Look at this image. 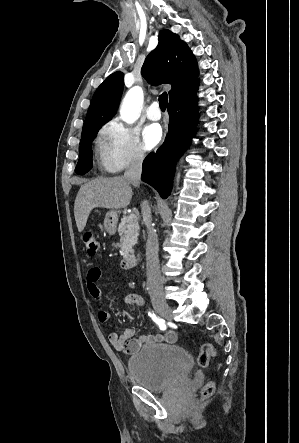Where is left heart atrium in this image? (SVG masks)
I'll use <instances>...</instances> for the list:
<instances>
[{"instance_id":"39dd6f15","label":"left heart atrium","mask_w":299,"mask_h":443,"mask_svg":"<svg viewBox=\"0 0 299 443\" xmlns=\"http://www.w3.org/2000/svg\"><path fill=\"white\" fill-rule=\"evenodd\" d=\"M162 138V130L158 124H150L143 131V144L145 149L154 148Z\"/></svg>"}]
</instances>
